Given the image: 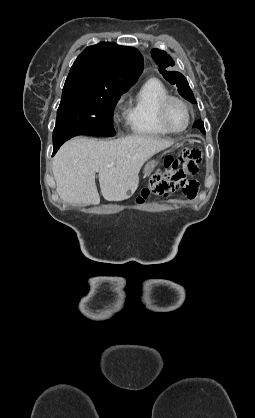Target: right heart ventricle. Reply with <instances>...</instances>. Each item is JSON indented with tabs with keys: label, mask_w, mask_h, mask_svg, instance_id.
Returning a JSON list of instances; mask_svg holds the SVG:
<instances>
[{
	"label": "right heart ventricle",
	"mask_w": 255,
	"mask_h": 418,
	"mask_svg": "<svg viewBox=\"0 0 255 418\" xmlns=\"http://www.w3.org/2000/svg\"><path fill=\"white\" fill-rule=\"evenodd\" d=\"M168 95L166 86L156 78H150L140 86L126 112V120L133 134L163 136L170 133L158 120L159 104Z\"/></svg>",
	"instance_id": "right-heart-ventricle-1"
}]
</instances>
